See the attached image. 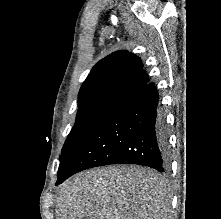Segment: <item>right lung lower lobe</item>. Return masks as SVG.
<instances>
[{
  "label": "right lung lower lobe",
  "mask_w": 221,
  "mask_h": 219,
  "mask_svg": "<svg viewBox=\"0 0 221 219\" xmlns=\"http://www.w3.org/2000/svg\"><path fill=\"white\" fill-rule=\"evenodd\" d=\"M154 83L126 96L60 164L55 185L82 170L109 164L169 169L168 134Z\"/></svg>",
  "instance_id": "right-lung-lower-lobe-1"
}]
</instances>
